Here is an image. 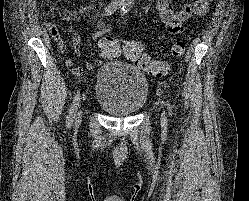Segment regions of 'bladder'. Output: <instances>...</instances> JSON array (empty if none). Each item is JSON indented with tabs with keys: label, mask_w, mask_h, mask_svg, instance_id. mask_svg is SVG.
<instances>
[{
	"label": "bladder",
	"mask_w": 249,
	"mask_h": 201,
	"mask_svg": "<svg viewBox=\"0 0 249 201\" xmlns=\"http://www.w3.org/2000/svg\"><path fill=\"white\" fill-rule=\"evenodd\" d=\"M96 104L112 117H127L139 112L147 102L146 75L120 60L101 64L95 81Z\"/></svg>",
	"instance_id": "1"
}]
</instances>
